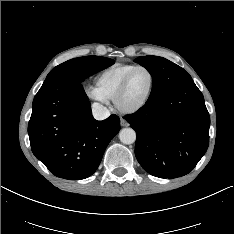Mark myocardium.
<instances>
[{"mask_svg":"<svg viewBox=\"0 0 234 234\" xmlns=\"http://www.w3.org/2000/svg\"><path fill=\"white\" fill-rule=\"evenodd\" d=\"M137 70H146L150 74L151 82H150L149 90H148L145 98L140 103H138L137 105L132 106V107H124L122 105V99H123V97L128 89L129 82H130L132 75ZM154 87H155V74L153 73V71L150 68H148L147 66H143V65L135 66L133 69H131L127 73V75L123 79L120 87L118 88V90L115 94L113 101H114V105H115L116 109L123 114H133V113L140 111L149 102V100L153 94Z\"/></svg>","mask_w":234,"mask_h":234,"instance_id":"1","label":"myocardium"}]
</instances>
